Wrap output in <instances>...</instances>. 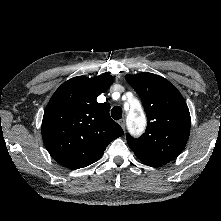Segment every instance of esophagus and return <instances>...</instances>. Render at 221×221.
<instances>
[{"mask_svg": "<svg viewBox=\"0 0 221 221\" xmlns=\"http://www.w3.org/2000/svg\"><path fill=\"white\" fill-rule=\"evenodd\" d=\"M118 123L122 127V129L124 130L125 129V119H120Z\"/></svg>", "mask_w": 221, "mask_h": 221, "instance_id": "esophagus-1", "label": "esophagus"}]
</instances>
